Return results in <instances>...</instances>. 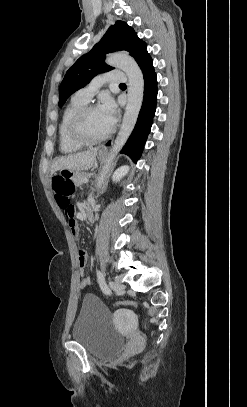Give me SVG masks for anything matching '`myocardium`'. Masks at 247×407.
<instances>
[{"mask_svg": "<svg viewBox=\"0 0 247 407\" xmlns=\"http://www.w3.org/2000/svg\"><path fill=\"white\" fill-rule=\"evenodd\" d=\"M94 109H98V106L93 105V104H86V105L82 106L81 108H79L70 120L69 134H70L71 138L75 142H77L81 145H84V146L99 144V143L105 141L106 139H108L114 131V128L111 127V129L106 134H104L103 136H101L99 138H90L84 133V130H83L84 118L88 112H90L91 110H94Z\"/></svg>", "mask_w": 247, "mask_h": 407, "instance_id": "myocardium-1", "label": "myocardium"}]
</instances>
